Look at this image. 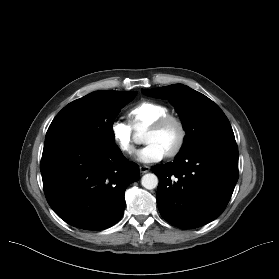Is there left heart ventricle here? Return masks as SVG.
Here are the masks:
<instances>
[{
    "mask_svg": "<svg viewBox=\"0 0 279 279\" xmlns=\"http://www.w3.org/2000/svg\"><path fill=\"white\" fill-rule=\"evenodd\" d=\"M178 135V128L174 124H168L159 131H153L151 129H148L144 138V142L146 144L156 143L165 152H167L177 142Z\"/></svg>",
    "mask_w": 279,
    "mask_h": 279,
    "instance_id": "1",
    "label": "left heart ventricle"
}]
</instances>
